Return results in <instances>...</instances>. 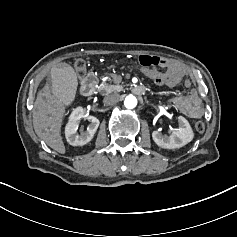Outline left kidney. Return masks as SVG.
I'll use <instances>...</instances> for the list:
<instances>
[{
  "label": "left kidney",
  "instance_id": "obj_1",
  "mask_svg": "<svg viewBox=\"0 0 237 237\" xmlns=\"http://www.w3.org/2000/svg\"><path fill=\"white\" fill-rule=\"evenodd\" d=\"M177 119L179 121V129L172 131L170 135L162 134L157 130L152 132V139L158 146L165 149L180 148L194 138L189 122L182 116H178Z\"/></svg>",
  "mask_w": 237,
  "mask_h": 237
}]
</instances>
